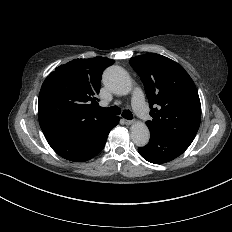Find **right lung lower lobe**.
I'll return each mask as SVG.
<instances>
[{"instance_id":"1","label":"right lung lower lobe","mask_w":232,"mask_h":232,"mask_svg":"<svg viewBox=\"0 0 232 232\" xmlns=\"http://www.w3.org/2000/svg\"><path fill=\"white\" fill-rule=\"evenodd\" d=\"M118 123L119 117L110 116L79 129L43 133L49 145L59 156L74 162H84L102 151L109 132Z\"/></svg>"}]
</instances>
